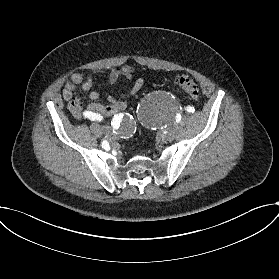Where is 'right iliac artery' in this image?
Segmentation results:
<instances>
[{
	"mask_svg": "<svg viewBox=\"0 0 279 279\" xmlns=\"http://www.w3.org/2000/svg\"><path fill=\"white\" fill-rule=\"evenodd\" d=\"M81 116L84 117L85 119H89L90 118V119H92V120L94 119L96 121H101L102 120V116L101 115H99V114L95 115L91 111L90 112L89 111L82 112ZM125 124H126L125 119L123 117H121V116H118V115H115L114 118L111 121V125H112L113 128L121 129V128H123L125 126Z\"/></svg>",
	"mask_w": 279,
	"mask_h": 279,
	"instance_id": "82829eb1",
	"label": "right iliac artery"
}]
</instances>
